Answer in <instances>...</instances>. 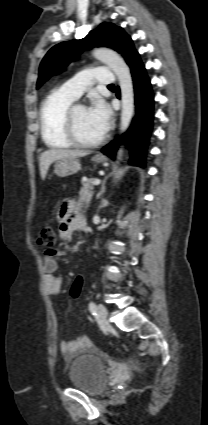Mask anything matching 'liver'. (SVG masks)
Returning <instances> with one entry per match:
<instances>
[{"label":"liver","instance_id":"6515ba94","mask_svg":"<svg viewBox=\"0 0 208 425\" xmlns=\"http://www.w3.org/2000/svg\"><path fill=\"white\" fill-rule=\"evenodd\" d=\"M89 151L66 150V149H51L43 152L39 159V168L41 178L44 180L50 165L60 159L84 157L89 155Z\"/></svg>","mask_w":208,"mask_h":425}]
</instances>
